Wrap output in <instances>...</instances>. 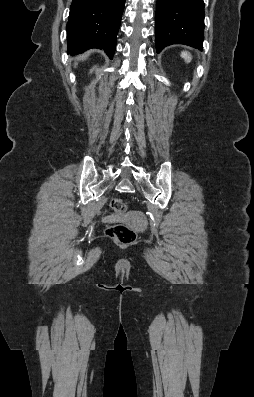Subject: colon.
<instances>
[{
  "instance_id": "colon-1",
  "label": "colon",
  "mask_w": 254,
  "mask_h": 397,
  "mask_svg": "<svg viewBox=\"0 0 254 397\" xmlns=\"http://www.w3.org/2000/svg\"><path fill=\"white\" fill-rule=\"evenodd\" d=\"M110 208L117 214L127 211V204L121 198H114L110 203ZM107 235L115 242L123 245H130L136 240V233L123 224H115L107 228Z\"/></svg>"
}]
</instances>
